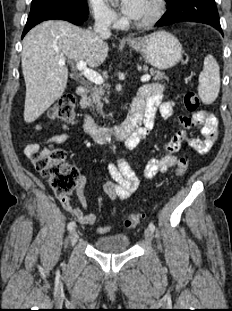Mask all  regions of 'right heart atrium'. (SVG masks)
<instances>
[{
    "instance_id": "1",
    "label": "right heart atrium",
    "mask_w": 232,
    "mask_h": 311,
    "mask_svg": "<svg viewBox=\"0 0 232 311\" xmlns=\"http://www.w3.org/2000/svg\"><path fill=\"white\" fill-rule=\"evenodd\" d=\"M92 15L97 23L115 27L119 23L117 13L104 0H89Z\"/></svg>"
}]
</instances>
